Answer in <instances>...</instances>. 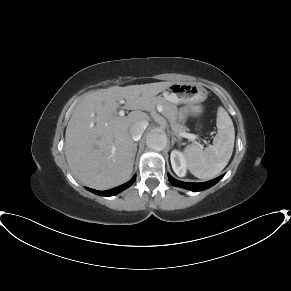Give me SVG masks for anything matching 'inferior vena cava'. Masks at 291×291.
<instances>
[{
	"label": "inferior vena cava",
	"instance_id": "inferior-vena-cava-1",
	"mask_svg": "<svg viewBox=\"0 0 291 291\" xmlns=\"http://www.w3.org/2000/svg\"><path fill=\"white\" fill-rule=\"evenodd\" d=\"M148 126V122L147 121H141V122H137L135 124H133L131 127H130V134H131V137H132V140L133 141H138L143 132L145 131V129L147 128Z\"/></svg>",
	"mask_w": 291,
	"mask_h": 291
}]
</instances>
